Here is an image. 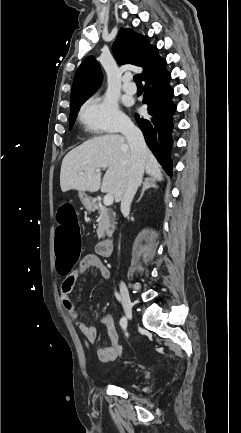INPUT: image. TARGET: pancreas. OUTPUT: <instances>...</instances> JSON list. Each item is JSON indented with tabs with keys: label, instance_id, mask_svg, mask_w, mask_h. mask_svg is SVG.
Returning a JSON list of instances; mask_svg holds the SVG:
<instances>
[{
	"label": "pancreas",
	"instance_id": "pancreas-1",
	"mask_svg": "<svg viewBox=\"0 0 241 433\" xmlns=\"http://www.w3.org/2000/svg\"><path fill=\"white\" fill-rule=\"evenodd\" d=\"M98 217V228L97 235L98 238H104L105 234L110 235L114 230V214L111 213L106 207L99 208Z\"/></svg>",
	"mask_w": 241,
	"mask_h": 433
}]
</instances>
